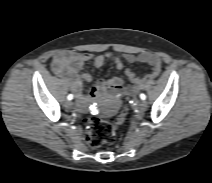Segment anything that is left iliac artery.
<instances>
[{"label":"left iliac artery","mask_w":212,"mask_h":183,"mask_svg":"<svg viewBox=\"0 0 212 183\" xmlns=\"http://www.w3.org/2000/svg\"><path fill=\"white\" fill-rule=\"evenodd\" d=\"M140 98H141L142 100H145V99H146V95L143 94V93H141V94H140Z\"/></svg>","instance_id":"1"}]
</instances>
